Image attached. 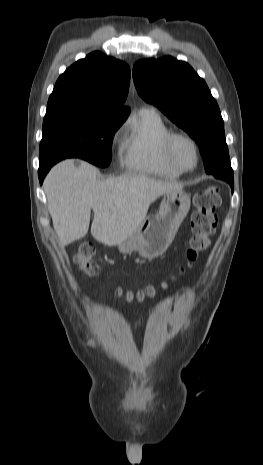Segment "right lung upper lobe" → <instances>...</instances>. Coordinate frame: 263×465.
<instances>
[{"label": "right lung upper lobe", "mask_w": 263, "mask_h": 465, "mask_svg": "<svg viewBox=\"0 0 263 465\" xmlns=\"http://www.w3.org/2000/svg\"><path fill=\"white\" fill-rule=\"evenodd\" d=\"M129 81L126 63L92 52L58 78L47 107L76 105L129 114L130 108L123 106Z\"/></svg>", "instance_id": "1"}]
</instances>
